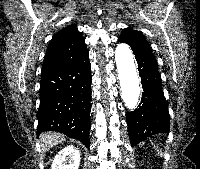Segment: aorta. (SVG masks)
Listing matches in <instances>:
<instances>
[{
	"label": "aorta",
	"instance_id": "1",
	"mask_svg": "<svg viewBox=\"0 0 200 169\" xmlns=\"http://www.w3.org/2000/svg\"><path fill=\"white\" fill-rule=\"evenodd\" d=\"M115 61L125 106L128 109H135L140 96V86L133 53L127 44H118Z\"/></svg>",
	"mask_w": 200,
	"mask_h": 169
}]
</instances>
